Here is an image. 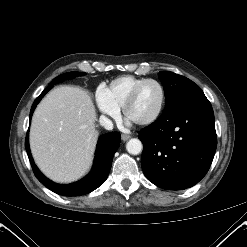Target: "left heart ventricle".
Here are the masks:
<instances>
[{"instance_id":"left-heart-ventricle-1","label":"left heart ventricle","mask_w":247,"mask_h":247,"mask_svg":"<svg viewBox=\"0 0 247 247\" xmlns=\"http://www.w3.org/2000/svg\"><path fill=\"white\" fill-rule=\"evenodd\" d=\"M160 100V88L154 83L146 84L128 109V119L138 123L150 118L157 111Z\"/></svg>"}]
</instances>
